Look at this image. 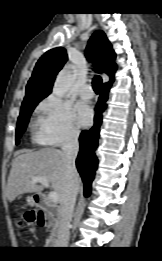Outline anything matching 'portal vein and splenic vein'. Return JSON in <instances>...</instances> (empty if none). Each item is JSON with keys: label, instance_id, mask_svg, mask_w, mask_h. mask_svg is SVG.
Masks as SVG:
<instances>
[{"label": "portal vein and splenic vein", "instance_id": "obj_1", "mask_svg": "<svg viewBox=\"0 0 162 261\" xmlns=\"http://www.w3.org/2000/svg\"><path fill=\"white\" fill-rule=\"evenodd\" d=\"M32 183H40L46 188L49 187V180L46 177H32L31 178ZM48 198L50 202L56 203L59 201V194L57 192H50L48 195Z\"/></svg>", "mask_w": 162, "mask_h": 261}]
</instances>
